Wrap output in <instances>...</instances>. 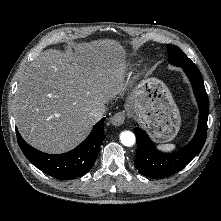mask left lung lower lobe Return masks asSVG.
I'll use <instances>...</instances> for the list:
<instances>
[{"mask_svg": "<svg viewBox=\"0 0 221 221\" xmlns=\"http://www.w3.org/2000/svg\"><path fill=\"white\" fill-rule=\"evenodd\" d=\"M191 81L199 106V124L192 141L173 154H163L153 145L147 133L139 127L134 128L137 137V152L134 160L138 171L145 176L162 178L183 169L202 149L207 134L209 102L204 82L195 64L182 66Z\"/></svg>", "mask_w": 221, "mask_h": 221, "instance_id": "left-lung-lower-lobe-1", "label": "left lung lower lobe"}]
</instances>
